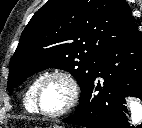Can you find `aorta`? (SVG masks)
<instances>
[{
  "label": "aorta",
  "instance_id": "1",
  "mask_svg": "<svg viewBox=\"0 0 142 128\" xmlns=\"http://www.w3.org/2000/svg\"><path fill=\"white\" fill-rule=\"evenodd\" d=\"M129 109L131 113L132 124L136 125L142 121V104L138 100H131L129 102Z\"/></svg>",
  "mask_w": 142,
  "mask_h": 128
}]
</instances>
